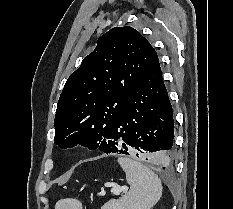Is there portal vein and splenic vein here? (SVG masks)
I'll use <instances>...</instances> for the list:
<instances>
[{"instance_id": "obj_1", "label": "portal vein and splenic vein", "mask_w": 233, "mask_h": 209, "mask_svg": "<svg viewBox=\"0 0 233 209\" xmlns=\"http://www.w3.org/2000/svg\"><path fill=\"white\" fill-rule=\"evenodd\" d=\"M127 190H128L127 187H125V188H118V187L114 186V187L111 189V192H112L114 195H120V193H121L122 191L127 192ZM102 195H104V193H102Z\"/></svg>"}]
</instances>
